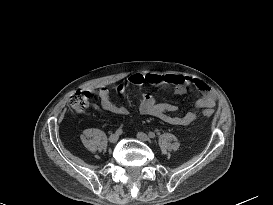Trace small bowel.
<instances>
[{"mask_svg": "<svg viewBox=\"0 0 273 205\" xmlns=\"http://www.w3.org/2000/svg\"><path fill=\"white\" fill-rule=\"evenodd\" d=\"M145 83L158 86L161 84H169L174 86L176 95H184L187 93L189 86H194L200 94L199 99L195 102V108H212L216 104V97L212 89L203 81L183 77L179 75H160V74H142L133 73L127 79L116 87L118 93H122L129 85L141 86ZM100 105L99 107L109 113L116 115H127L128 109L124 106L116 105L111 98L110 92L106 88L99 91ZM139 110L143 115H150L157 117L172 125H188L196 119L194 110L187 111L183 116H173L177 110L176 105L169 102H157L155 98L148 94L143 93L140 102Z\"/></svg>", "mask_w": 273, "mask_h": 205, "instance_id": "1", "label": "small bowel"}]
</instances>
